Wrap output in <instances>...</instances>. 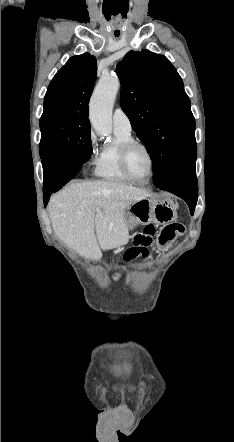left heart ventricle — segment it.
<instances>
[{"label":"left heart ventricle","instance_id":"left-heart-ventricle-1","mask_svg":"<svg viewBox=\"0 0 234 442\" xmlns=\"http://www.w3.org/2000/svg\"><path fill=\"white\" fill-rule=\"evenodd\" d=\"M131 173L139 180H146L150 174V161L147 153L141 147L131 149L128 156Z\"/></svg>","mask_w":234,"mask_h":442}]
</instances>
